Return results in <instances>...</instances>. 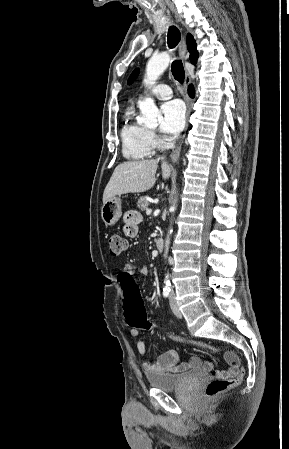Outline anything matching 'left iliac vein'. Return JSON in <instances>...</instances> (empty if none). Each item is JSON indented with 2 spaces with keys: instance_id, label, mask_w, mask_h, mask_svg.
Wrapping results in <instances>:
<instances>
[{
  "instance_id": "1",
  "label": "left iliac vein",
  "mask_w": 289,
  "mask_h": 449,
  "mask_svg": "<svg viewBox=\"0 0 289 449\" xmlns=\"http://www.w3.org/2000/svg\"><path fill=\"white\" fill-rule=\"evenodd\" d=\"M169 302H170V307H171L173 313H174L177 317L181 318V317H182V314H181V312H180V310H179V308H178V306H177V303H176V300H175V296H174L173 293H171V295H170Z\"/></svg>"
}]
</instances>
